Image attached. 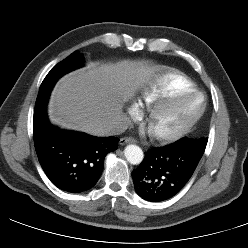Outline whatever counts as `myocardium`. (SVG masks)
Segmentation results:
<instances>
[{
  "instance_id": "myocardium-1",
  "label": "myocardium",
  "mask_w": 248,
  "mask_h": 248,
  "mask_svg": "<svg viewBox=\"0 0 248 248\" xmlns=\"http://www.w3.org/2000/svg\"><path fill=\"white\" fill-rule=\"evenodd\" d=\"M198 94L201 95L203 98V103L200 108V110L195 113L193 116H191L185 123H183L181 126H179L177 129L166 132V133H153L154 137L161 142H173L181 139L184 137L187 133L191 131V129L199 122V120L202 118L206 111L207 107V97L206 95L197 89H189L180 91L178 93L169 95L161 100H159L157 103H155L146 118V124L150 128L153 121L157 119L158 117L162 116L166 112L170 111L173 106L179 102L181 99L186 98L188 96Z\"/></svg>"
}]
</instances>
